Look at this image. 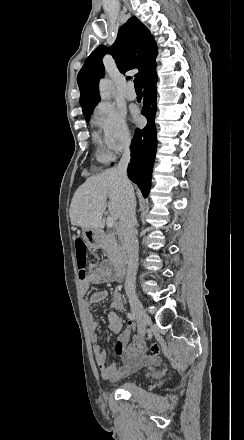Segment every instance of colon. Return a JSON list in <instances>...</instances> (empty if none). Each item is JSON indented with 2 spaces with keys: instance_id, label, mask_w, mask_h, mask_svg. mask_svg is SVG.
Wrapping results in <instances>:
<instances>
[{
  "instance_id": "obj_1",
  "label": "colon",
  "mask_w": 244,
  "mask_h": 440,
  "mask_svg": "<svg viewBox=\"0 0 244 440\" xmlns=\"http://www.w3.org/2000/svg\"><path fill=\"white\" fill-rule=\"evenodd\" d=\"M75 254L77 259V271L80 279H85L87 272L91 268H97L99 265L98 255L87 250L86 244L82 240L75 242ZM150 352L158 355L162 352V344L153 342L150 345Z\"/></svg>"
}]
</instances>
